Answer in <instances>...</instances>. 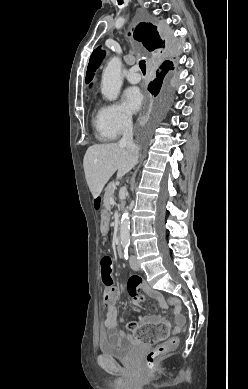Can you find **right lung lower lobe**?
Listing matches in <instances>:
<instances>
[{"label":"right lung lower lobe","mask_w":248,"mask_h":389,"mask_svg":"<svg viewBox=\"0 0 248 389\" xmlns=\"http://www.w3.org/2000/svg\"><path fill=\"white\" fill-rule=\"evenodd\" d=\"M165 38L167 39L168 43H171V44H172V41H171V39H170L168 36L165 35ZM159 82H160V81H159ZM159 82H157V83H155V84H154V82L150 83V84H149V87H148L149 91L152 92L153 89H156V86H157V84H158Z\"/></svg>","instance_id":"98d812e1"}]
</instances>
